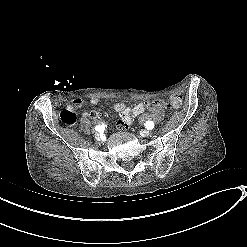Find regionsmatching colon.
Segmentation results:
<instances>
[{
    "label": "colon",
    "mask_w": 247,
    "mask_h": 247,
    "mask_svg": "<svg viewBox=\"0 0 247 247\" xmlns=\"http://www.w3.org/2000/svg\"><path fill=\"white\" fill-rule=\"evenodd\" d=\"M167 107L164 101H151L148 103L147 108L153 111H160ZM59 119L63 124L72 126L77 123V115L70 109H64L59 114Z\"/></svg>",
    "instance_id": "obj_1"
}]
</instances>
